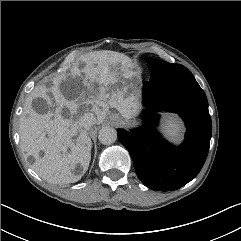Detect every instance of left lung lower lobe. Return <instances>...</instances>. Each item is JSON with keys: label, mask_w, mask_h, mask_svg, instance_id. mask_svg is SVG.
Returning a JSON list of instances; mask_svg holds the SVG:
<instances>
[{"label": "left lung lower lobe", "mask_w": 241, "mask_h": 241, "mask_svg": "<svg viewBox=\"0 0 241 241\" xmlns=\"http://www.w3.org/2000/svg\"><path fill=\"white\" fill-rule=\"evenodd\" d=\"M143 101L144 127L130 132L118 129L119 141L145 186L154 191L177 190L198 175L208 154L212 123L206 95L199 84L172 93L165 76L152 71L150 81L144 82ZM161 111L177 113L184 120L187 132L179 147L161 139L155 130Z\"/></svg>", "instance_id": "left-lung-lower-lobe-1"}]
</instances>
